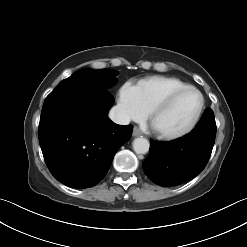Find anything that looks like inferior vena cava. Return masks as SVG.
Here are the masks:
<instances>
[{
	"instance_id": "obj_1",
	"label": "inferior vena cava",
	"mask_w": 247,
	"mask_h": 247,
	"mask_svg": "<svg viewBox=\"0 0 247 247\" xmlns=\"http://www.w3.org/2000/svg\"><path fill=\"white\" fill-rule=\"evenodd\" d=\"M109 118L116 124L127 125L130 123L129 114L120 106H114L109 112Z\"/></svg>"
}]
</instances>
